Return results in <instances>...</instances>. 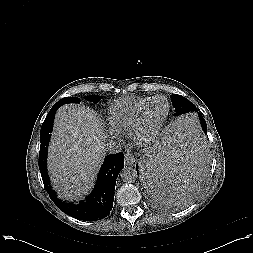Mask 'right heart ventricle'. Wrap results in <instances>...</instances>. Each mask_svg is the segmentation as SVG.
<instances>
[{
	"label": "right heart ventricle",
	"mask_w": 253,
	"mask_h": 253,
	"mask_svg": "<svg viewBox=\"0 0 253 253\" xmlns=\"http://www.w3.org/2000/svg\"><path fill=\"white\" fill-rule=\"evenodd\" d=\"M150 96H127L115 100L108 110V122L118 133L128 134L137 118L140 108Z\"/></svg>",
	"instance_id": "obj_1"
}]
</instances>
